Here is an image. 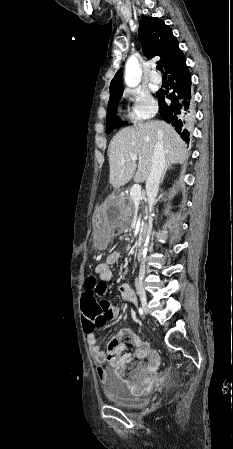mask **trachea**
Wrapping results in <instances>:
<instances>
[{
	"mask_svg": "<svg viewBox=\"0 0 233 449\" xmlns=\"http://www.w3.org/2000/svg\"><path fill=\"white\" fill-rule=\"evenodd\" d=\"M157 69L160 70L164 74L162 64H158Z\"/></svg>",
	"mask_w": 233,
	"mask_h": 449,
	"instance_id": "3493384b",
	"label": "trachea"
}]
</instances>
